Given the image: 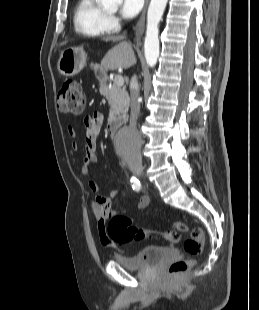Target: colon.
<instances>
[{
	"label": "colon",
	"mask_w": 259,
	"mask_h": 310,
	"mask_svg": "<svg viewBox=\"0 0 259 310\" xmlns=\"http://www.w3.org/2000/svg\"><path fill=\"white\" fill-rule=\"evenodd\" d=\"M58 109L66 114L80 115L84 111L85 100L81 84L76 80H66L57 96ZM173 231L157 233L164 241L177 244L182 240V233L188 232L190 237L184 241V250L191 256L200 254L204 246V234L201 228L191 227L184 222L173 223ZM110 238L124 244L133 240H142L155 234L137 226L133 220L123 214H115L110 218L107 226ZM193 264L192 259H181L173 262L169 267L171 275H178L187 271Z\"/></svg>",
	"instance_id": "obj_1"
}]
</instances>
